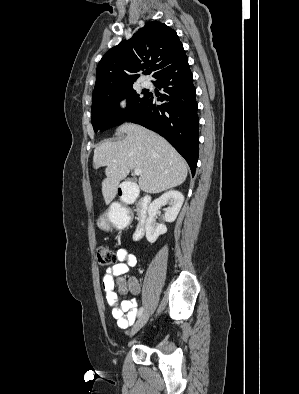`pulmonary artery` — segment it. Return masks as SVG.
<instances>
[{
    "mask_svg": "<svg viewBox=\"0 0 299 394\" xmlns=\"http://www.w3.org/2000/svg\"><path fill=\"white\" fill-rule=\"evenodd\" d=\"M143 86H144L145 88H151V87H152V83H151L149 80H145V81L143 82Z\"/></svg>",
    "mask_w": 299,
    "mask_h": 394,
    "instance_id": "obj_1",
    "label": "pulmonary artery"
}]
</instances>
